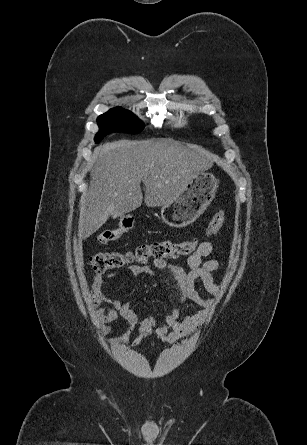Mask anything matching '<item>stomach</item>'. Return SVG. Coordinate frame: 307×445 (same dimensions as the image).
Returning a JSON list of instances; mask_svg holds the SVG:
<instances>
[{
	"label": "stomach",
	"instance_id": "0dacf381",
	"mask_svg": "<svg viewBox=\"0 0 307 445\" xmlns=\"http://www.w3.org/2000/svg\"><path fill=\"white\" fill-rule=\"evenodd\" d=\"M218 188V178L211 172L200 170L194 174L185 190L169 200L168 204H162L161 218L163 223L174 229H182L192 225L200 214L205 212L212 202Z\"/></svg>",
	"mask_w": 307,
	"mask_h": 445
}]
</instances>
